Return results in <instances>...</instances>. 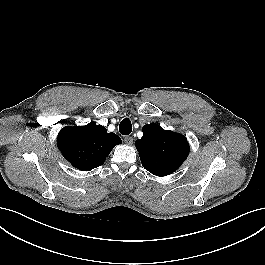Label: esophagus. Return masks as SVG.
I'll use <instances>...</instances> for the list:
<instances>
[{"mask_svg": "<svg viewBox=\"0 0 265 265\" xmlns=\"http://www.w3.org/2000/svg\"><path fill=\"white\" fill-rule=\"evenodd\" d=\"M124 142H125L127 145H132V144H133V138L127 136V137L124 138Z\"/></svg>", "mask_w": 265, "mask_h": 265, "instance_id": "34e87169", "label": "esophagus"}]
</instances>
